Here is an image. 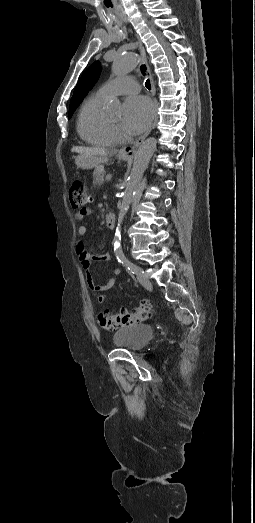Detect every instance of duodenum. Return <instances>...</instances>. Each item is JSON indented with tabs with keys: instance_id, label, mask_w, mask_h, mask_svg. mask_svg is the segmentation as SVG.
Instances as JSON below:
<instances>
[{
	"instance_id": "obj_1",
	"label": "duodenum",
	"mask_w": 255,
	"mask_h": 523,
	"mask_svg": "<svg viewBox=\"0 0 255 523\" xmlns=\"http://www.w3.org/2000/svg\"><path fill=\"white\" fill-rule=\"evenodd\" d=\"M116 216L114 213H108L105 217V224L108 228H113L115 226Z\"/></svg>"
}]
</instances>
